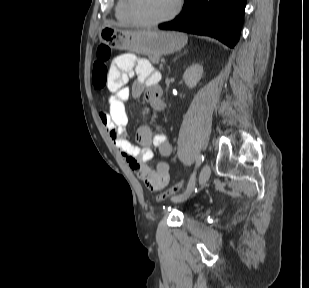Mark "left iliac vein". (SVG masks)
Here are the masks:
<instances>
[{
	"label": "left iliac vein",
	"mask_w": 309,
	"mask_h": 288,
	"mask_svg": "<svg viewBox=\"0 0 309 288\" xmlns=\"http://www.w3.org/2000/svg\"><path fill=\"white\" fill-rule=\"evenodd\" d=\"M210 173H211L210 166L208 164H205L202 167V169L199 173V184L201 186H203L208 181V179L210 177ZM191 193L192 192L186 190L185 194L183 196H181L180 199L174 200L173 202H175V203L184 202L185 200H187L190 197Z\"/></svg>",
	"instance_id": "left-iliac-vein-1"
}]
</instances>
